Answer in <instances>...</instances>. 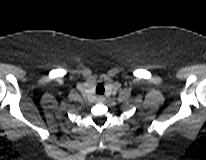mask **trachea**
Here are the masks:
<instances>
[{
    "label": "trachea",
    "instance_id": "3493384b",
    "mask_svg": "<svg viewBox=\"0 0 206 160\" xmlns=\"http://www.w3.org/2000/svg\"><path fill=\"white\" fill-rule=\"evenodd\" d=\"M104 91H105V89H104L103 84H102V83H99V84L97 85V87H96V93H97V94H100V95H103V94H104Z\"/></svg>",
    "mask_w": 206,
    "mask_h": 160
}]
</instances>
